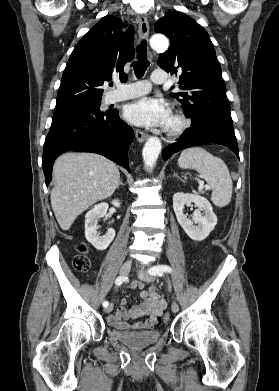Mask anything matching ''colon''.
<instances>
[{
    "label": "colon",
    "mask_w": 279,
    "mask_h": 391,
    "mask_svg": "<svg viewBox=\"0 0 279 391\" xmlns=\"http://www.w3.org/2000/svg\"><path fill=\"white\" fill-rule=\"evenodd\" d=\"M77 251L78 254L73 259V266L78 272L86 273L91 268L90 259L86 255L87 246L84 243H79L77 245ZM169 318H170L169 313H166L163 316L164 321L169 320Z\"/></svg>",
    "instance_id": "1"
}]
</instances>
